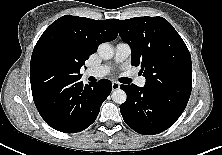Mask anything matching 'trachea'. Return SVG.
I'll return each instance as SVG.
<instances>
[{"instance_id": "obj_1", "label": "trachea", "mask_w": 222, "mask_h": 155, "mask_svg": "<svg viewBox=\"0 0 222 155\" xmlns=\"http://www.w3.org/2000/svg\"><path fill=\"white\" fill-rule=\"evenodd\" d=\"M130 82H131V79H130V78H123V79H122V83L127 84V83H130Z\"/></svg>"}]
</instances>
